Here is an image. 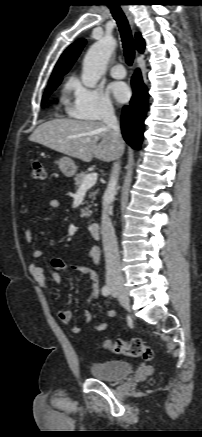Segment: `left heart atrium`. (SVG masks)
Listing matches in <instances>:
<instances>
[{"label":"left heart atrium","mask_w":202,"mask_h":437,"mask_svg":"<svg viewBox=\"0 0 202 437\" xmlns=\"http://www.w3.org/2000/svg\"><path fill=\"white\" fill-rule=\"evenodd\" d=\"M110 93L120 102H126L130 98V90L123 82H114L109 86Z\"/></svg>","instance_id":"left-heart-atrium-1"}]
</instances>
